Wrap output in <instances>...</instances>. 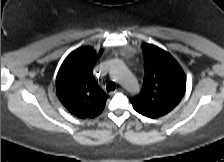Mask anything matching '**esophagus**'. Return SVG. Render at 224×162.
<instances>
[{"instance_id":"esophagus-1","label":"esophagus","mask_w":224,"mask_h":162,"mask_svg":"<svg viewBox=\"0 0 224 162\" xmlns=\"http://www.w3.org/2000/svg\"><path fill=\"white\" fill-rule=\"evenodd\" d=\"M119 92H123V90L121 88H119V89H117L115 91L110 92V95L113 96V95H115V94H117Z\"/></svg>"}]
</instances>
